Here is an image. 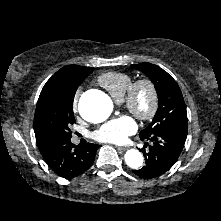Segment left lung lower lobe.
<instances>
[{"label": "left lung lower lobe", "mask_w": 221, "mask_h": 221, "mask_svg": "<svg viewBox=\"0 0 221 221\" xmlns=\"http://www.w3.org/2000/svg\"><path fill=\"white\" fill-rule=\"evenodd\" d=\"M187 138V128H172L160 131L150 137H140L141 140L153 142L149 151L144 153L146 165L139 170H133L140 178L152 179L166 173L178 160Z\"/></svg>", "instance_id": "0a47b994"}]
</instances>
